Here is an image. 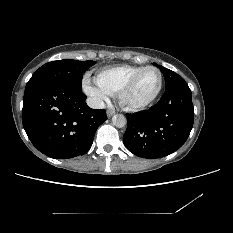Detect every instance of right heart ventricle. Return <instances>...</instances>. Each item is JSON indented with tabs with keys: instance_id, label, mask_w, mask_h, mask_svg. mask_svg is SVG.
I'll return each instance as SVG.
<instances>
[{
	"instance_id": "right-heart-ventricle-1",
	"label": "right heart ventricle",
	"mask_w": 233,
	"mask_h": 233,
	"mask_svg": "<svg viewBox=\"0 0 233 233\" xmlns=\"http://www.w3.org/2000/svg\"><path fill=\"white\" fill-rule=\"evenodd\" d=\"M143 66L118 65L102 69L97 73V85L108 95L118 96L125 83Z\"/></svg>"
}]
</instances>
